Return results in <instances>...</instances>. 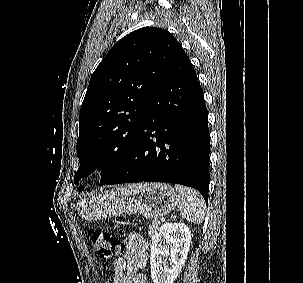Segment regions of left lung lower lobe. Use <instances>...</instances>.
Here are the masks:
<instances>
[{"mask_svg": "<svg viewBox=\"0 0 303 283\" xmlns=\"http://www.w3.org/2000/svg\"><path fill=\"white\" fill-rule=\"evenodd\" d=\"M208 111L195 70L182 50L153 96L129 156L105 184H182L208 199Z\"/></svg>", "mask_w": 303, "mask_h": 283, "instance_id": "left-lung-lower-lobe-1", "label": "left lung lower lobe"}]
</instances>
